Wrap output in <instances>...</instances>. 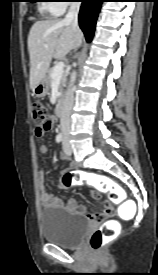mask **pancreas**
<instances>
[{
    "label": "pancreas",
    "instance_id": "pancreas-1",
    "mask_svg": "<svg viewBox=\"0 0 158 275\" xmlns=\"http://www.w3.org/2000/svg\"><path fill=\"white\" fill-rule=\"evenodd\" d=\"M54 68H51L48 70V74H47V79H48V85L50 87L53 79L51 77V74L53 72ZM65 84H66V76L65 75H62V77L60 78V92L62 93L63 92V87H65Z\"/></svg>",
    "mask_w": 158,
    "mask_h": 275
}]
</instances>
